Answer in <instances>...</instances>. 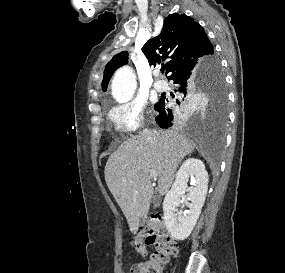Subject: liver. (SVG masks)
<instances>
[{
	"mask_svg": "<svg viewBox=\"0 0 285 273\" xmlns=\"http://www.w3.org/2000/svg\"><path fill=\"white\" fill-rule=\"evenodd\" d=\"M194 148V142L177 131L156 130L127 139L109 156L105 181L132 233L149 211L154 193L150 171L157 172L158 191L165 195L180 162Z\"/></svg>",
	"mask_w": 285,
	"mask_h": 273,
	"instance_id": "obj_1",
	"label": "liver"
}]
</instances>
